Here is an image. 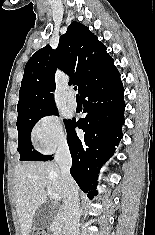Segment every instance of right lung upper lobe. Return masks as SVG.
Returning a JSON list of instances; mask_svg holds the SVG:
<instances>
[{
  "mask_svg": "<svg viewBox=\"0 0 155 235\" xmlns=\"http://www.w3.org/2000/svg\"><path fill=\"white\" fill-rule=\"evenodd\" d=\"M61 69L78 85L79 93L90 83L114 70V60L88 27L72 22L53 50L39 49L25 66L17 105L18 116L28 112L57 109L54 101L55 72Z\"/></svg>",
  "mask_w": 155,
  "mask_h": 235,
  "instance_id": "1",
  "label": "right lung upper lobe"
}]
</instances>
